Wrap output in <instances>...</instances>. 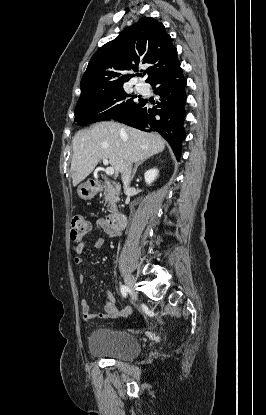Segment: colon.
<instances>
[{
    "label": "colon",
    "instance_id": "1",
    "mask_svg": "<svg viewBox=\"0 0 266 415\" xmlns=\"http://www.w3.org/2000/svg\"><path fill=\"white\" fill-rule=\"evenodd\" d=\"M90 222L83 216H75L71 221L70 237L73 241L82 240L90 231Z\"/></svg>",
    "mask_w": 266,
    "mask_h": 415
}]
</instances>
